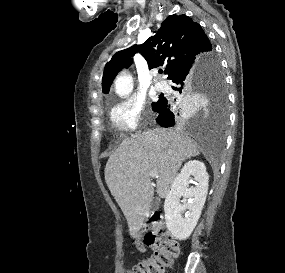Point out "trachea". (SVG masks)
<instances>
[{
  "mask_svg": "<svg viewBox=\"0 0 285 273\" xmlns=\"http://www.w3.org/2000/svg\"><path fill=\"white\" fill-rule=\"evenodd\" d=\"M160 73H163V70H160Z\"/></svg>",
  "mask_w": 285,
  "mask_h": 273,
  "instance_id": "3493384b",
  "label": "trachea"
}]
</instances>
